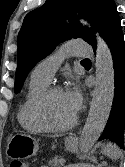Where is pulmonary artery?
<instances>
[{
  "mask_svg": "<svg viewBox=\"0 0 125 167\" xmlns=\"http://www.w3.org/2000/svg\"><path fill=\"white\" fill-rule=\"evenodd\" d=\"M91 54V50L84 40H72L54 54L40 61L32 72V78L49 84L66 57L87 58Z\"/></svg>",
  "mask_w": 125,
  "mask_h": 167,
  "instance_id": "pulmonary-artery-1",
  "label": "pulmonary artery"
}]
</instances>
